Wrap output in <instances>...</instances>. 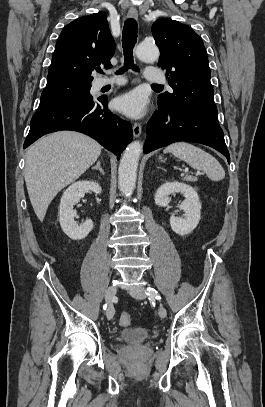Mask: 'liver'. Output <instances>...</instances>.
<instances>
[{"instance_id":"6515ba94","label":"liver","mask_w":265,"mask_h":407,"mask_svg":"<svg viewBox=\"0 0 265 407\" xmlns=\"http://www.w3.org/2000/svg\"><path fill=\"white\" fill-rule=\"evenodd\" d=\"M101 149L97 141L75 131L52 133L28 148L25 182L30 202L41 222L57 193L91 167Z\"/></svg>"}]
</instances>
